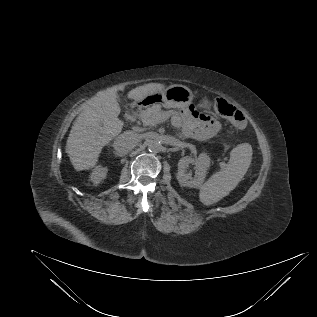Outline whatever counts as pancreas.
Instances as JSON below:
<instances>
[{
	"instance_id": "obj_1",
	"label": "pancreas",
	"mask_w": 317,
	"mask_h": 317,
	"mask_svg": "<svg viewBox=\"0 0 317 317\" xmlns=\"http://www.w3.org/2000/svg\"><path fill=\"white\" fill-rule=\"evenodd\" d=\"M162 112L160 105H153L146 110L140 111L138 117L144 126H154L156 117L161 115Z\"/></svg>"
}]
</instances>
